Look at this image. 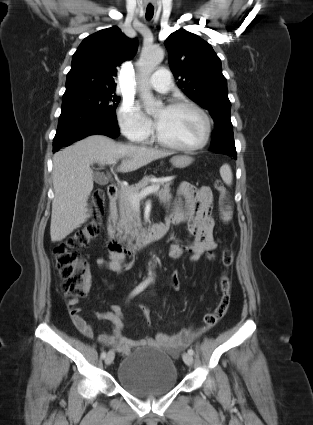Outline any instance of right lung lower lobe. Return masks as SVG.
<instances>
[{
    "label": "right lung lower lobe",
    "instance_id": "obj_1",
    "mask_svg": "<svg viewBox=\"0 0 313 425\" xmlns=\"http://www.w3.org/2000/svg\"><path fill=\"white\" fill-rule=\"evenodd\" d=\"M95 134L111 138L119 136L116 115L73 104L62 106L53 152Z\"/></svg>",
    "mask_w": 313,
    "mask_h": 425
}]
</instances>
